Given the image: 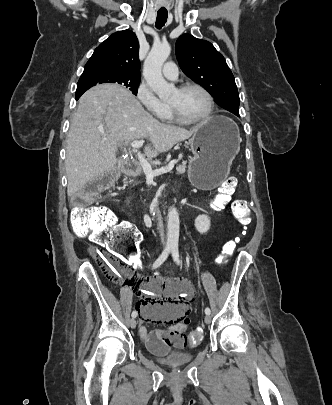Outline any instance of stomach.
Wrapping results in <instances>:
<instances>
[{
  "label": "stomach",
  "mask_w": 332,
  "mask_h": 405,
  "mask_svg": "<svg viewBox=\"0 0 332 405\" xmlns=\"http://www.w3.org/2000/svg\"><path fill=\"white\" fill-rule=\"evenodd\" d=\"M241 138L235 122L225 116H212L198 125L190 139L193 157L189 178L201 188L213 189L228 176L240 150Z\"/></svg>",
  "instance_id": "1"
}]
</instances>
